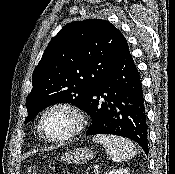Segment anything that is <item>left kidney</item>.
I'll list each match as a JSON object with an SVG mask.
<instances>
[{
    "label": "left kidney",
    "instance_id": "5707ae66",
    "mask_svg": "<svg viewBox=\"0 0 175 174\" xmlns=\"http://www.w3.org/2000/svg\"><path fill=\"white\" fill-rule=\"evenodd\" d=\"M105 174H130L127 169H117V170H112L109 173Z\"/></svg>",
    "mask_w": 175,
    "mask_h": 174
}]
</instances>
